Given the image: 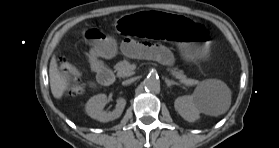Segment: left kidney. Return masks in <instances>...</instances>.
<instances>
[{
  "instance_id": "left-kidney-1",
  "label": "left kidney",
  "mask_w": 279,
  "mask_h": 148,
  "mask_svg": "<svg viewBox=\"0 0 279 148\" xmlns=\"http://www.w3.org/2000/svg\"><path fill=\"white\" fill-rule=\"evenodd\" d=\"M176 111L188 122H194L200 118V113L205 111V103L194 95L178 97L174 102Z\"/></svg>"
}]
</instances>
